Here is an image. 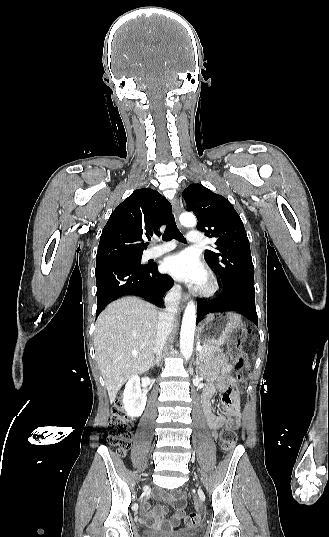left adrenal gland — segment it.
Returning a JSON list of instances; mask_svg holds the SVG:
<instances>
[{"label":"left adrenal gland","instance_id":"a2214340","mask_svg":"<svg viewBox=\"0 0 329 537\" xmlns=\"http://www.w3.org/2000/svg\"><path fill=\"white\" fill-rule=\"evenodd\" d=\"M201 361H200V358L198 357V353H196V373L198 374V368H199V365H200Z\"/></svg>","mask_w":329,"mask_h":537}]
</instances>
